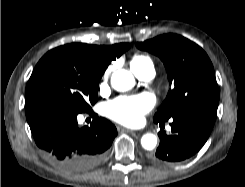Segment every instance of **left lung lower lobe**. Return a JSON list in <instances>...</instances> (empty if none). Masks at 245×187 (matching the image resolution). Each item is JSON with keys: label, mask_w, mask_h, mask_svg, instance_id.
<instances>
[{"label": "left lung lower lobe", "mask_w": 245, "mask_h": 187, "mask_svg": "<svg viewBox=\"0 0 245 187\" xmlns=\"http://www.w3.org/2000/svg\"><path fill=\"white\" fill-rule=\"evenodd\" d=\"M216 110H198L172 117L171 134L162 129L161 140L151 160L165 165L184 161L198 152L207 141L214 126ZM168 121V120H166ZM162 120H154L163 125Z\"/></svg>", "instance_id": "0a47b994"}]
</instances>
